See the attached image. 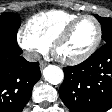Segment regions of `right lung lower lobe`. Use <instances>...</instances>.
I'll list each match as a JSON object with an SVG mask.
<instances>
[{
	"label": "right lung lower lobe",
	"instance_id": "98d812e1",
	"mask_svg": "<svg viewBox=\"0 0 112 112\" xmlns=\"http://www.w3.org/2000/svg\"><path fill=\"white\" fill-rule=\"evenodd\" d=\"M21 53L19 46L0 44V112H21L41 77L39 63L26 61Z\"/></svg>",
	"mask_w": 112,
	"mask_h": 112
}]
</instances>
